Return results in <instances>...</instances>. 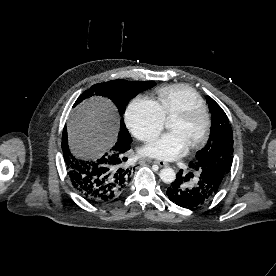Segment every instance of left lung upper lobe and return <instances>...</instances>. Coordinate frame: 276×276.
Masks as SVG:
<instances>
[{"mask_svg":"<svg viewBox=\"0 0 276 276\" xmlns=\"http://www.w3.org/2000/svg\"><path fill=\"white\" fill-rule=\"evenodd\" d=\"M206 99L212 114L211 135L190 166L198 171L208 168L210 173L220 177L223 185L233 161V131L222 108L211 97Z\"/></svg>","mask_w":276,"mask_h":276,"instance_id":"1","label":"left lung upper lobe"}]
</instances>
